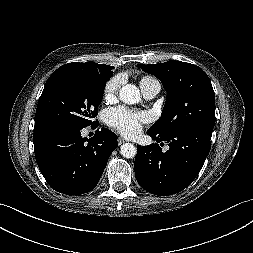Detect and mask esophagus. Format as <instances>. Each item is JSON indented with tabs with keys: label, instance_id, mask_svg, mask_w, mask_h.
<instances>
[{
	"label": "esophagus",
	"instance_id": "34e87169",
	"mask_svg": "<svg viewBox=\"0 0 253 253\" xmlns=\"http://www.w3.org/2000/svg\"><path fill=\"white\" fill-rule=\"evenodd\" d=\"M126 142V140L124 139V138H122V137H119L118 138V144L119 145H122V144H124Z\"/></svg>",
	"mask_w": 253,
	"mask_h": 253
}]
</instances>
